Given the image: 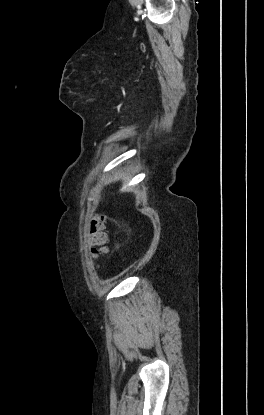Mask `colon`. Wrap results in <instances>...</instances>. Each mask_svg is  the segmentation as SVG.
Listing matches in <instances>:
<instances>
[{"mask_svg": "<svg viewBox=\"0 0 264 415\" xmlns=\"http://www.w3.org/2000/svg\"><path fill=\"white\" fill-rule=\"evenodd\" d=\"M106 215H96L90 224L91 254L94 259L104 257L107 252V235L105 233Z\"/></svg>", "mask_w": 264, "mask_h": 415, "instance_id": "obj_1", "label": "colon"}]
</instances>
